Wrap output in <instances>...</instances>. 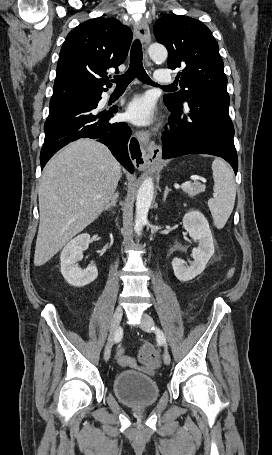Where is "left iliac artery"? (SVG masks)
I'll return each instance as SVG.
<instances>
[{
	"label": "left iliac artery",
	"instance_id": "44dca946",
	"mask_svg": "<svg viewBox=\"0 0 272 455\" xmlns=\"http://www.w3.org/2000/svg\"><path fill=\"white\" fill-rule=\"evenodd\" d=\"M152 329L155 330L154 327ZM156 333H157L158 339L161 340L164 344H166V338H165L164 333L158 328H156Z\"/></svg>",
	"mask_w": 272,
	"mask_h": 455
}]
</instances>
